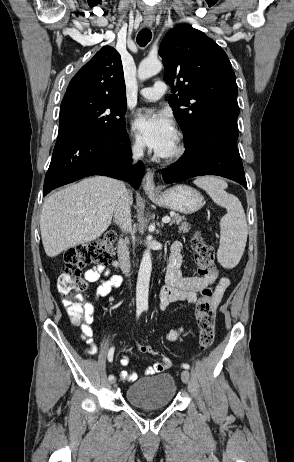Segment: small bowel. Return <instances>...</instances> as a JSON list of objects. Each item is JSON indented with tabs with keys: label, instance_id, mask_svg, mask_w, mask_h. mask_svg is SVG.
Here are the masks:
<instances>
[{
	"label": "small bowel",
	"instance_id": "obj_1",
	"mask_svg": "<svg viewBox=\"0 0 294 462\" xmlns=\"http://www.w3.org/2000/svg\"><path fill=\"white\" fill-rule=\"evenodd\" d=\"M183 263L182 244L178 241L171 246L170 257L165 274V286L159 293L158 304L161 310L168 305L178 301H187L195 303L198 300L199 293L206 287L207 280L200 276H183L181 266ZM118 263L114 262L113 267L118 268ZM218 273L216 272V279ZM84 278L89 283L96 284V291L92 302L85 301L84 303V321L81 324V337L85 342L86 352L94 354L97 351V346L93 339V329L91 324L94 321L95 305L98 300L108 295L113 288L121 286L123 278L118 274H112L107 265H96L84 274ZM230 285V280L227 277H222L215 288L214 303L217 306L227 288ZM183 329L170 330L167 333V338L170 341H175L182 333ZM139 351L146 353V346H139ZM128 357L124 356L121 359V365L127 366ZM171 363L168 358H163L144 371L146 375L160 373L170 367ZM135 372L121 371L120 379L123 381L132 382L137 379Z\"/></svg>",
	"mask_w": 294,
	"mask_h": 462
}]
</instances>
